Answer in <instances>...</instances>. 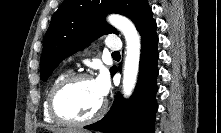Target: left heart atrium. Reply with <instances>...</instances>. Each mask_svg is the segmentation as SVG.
<instances>
[{
  "mask_svg": "<svg viewBox=\"0 0 221 133\" xmlns=\"http://www.w3.org/2000/svg\"><path fill=\"white\" fill-rule=\"evenodd\" d=\"M95 88L101 98H105L110 89L108 75L105 71H101L98 76L93 80Z\"/></svg>",
  "mask_w": 221,
  "mask_h": 133,
  "instance_id": "left-heart-atrium-1",
  "label": "left heart atrium"
}]
</instances>
